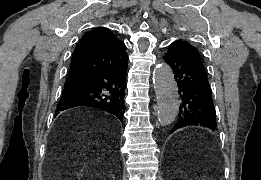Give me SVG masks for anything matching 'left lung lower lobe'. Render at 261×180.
<instances>
[{
	"instance_id": "0a47b994",
	"label": "left lung lower lobe",
	"mask_w": 261,
	"mask_h": 180,
	"mask_svg": "<svg viewBox=\"0 0 261 180\" xmlns=\"http://www.w3.org/2000/svg\"><path fill=\"white\" fill-rule=\"evenodd\" d=\"M163 58L173 69L180 97L179 119L172 132L189 125L215 130L216 113L203 64L177 44H171Z\"/></svg>"
}]
</instances>
